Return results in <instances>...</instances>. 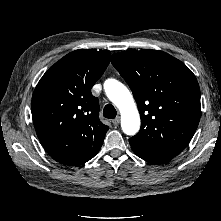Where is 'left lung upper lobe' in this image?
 <instances>
[{"label": "left lung upper lobe", "instance_id": "left-lung-upper-lobe-1", "mask_svg": "<svg viewBox=\"0 0 221 221\" xmlns=\"http://www.w3.org/2000/svg\"><path fill=\"white\" fill-rule=\"evenodd\" d=\"M111 62L130 86L141 129L129 139L143 153L174 157L192 139L201 115L195 75L181 61L159 50L126 51Z\"/></svg>", "mask_w": 221, "mask_h": 221}]
</instances>
